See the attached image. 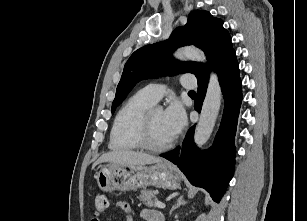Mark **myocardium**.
<instances>
[{
	"mask_svg": "<svg viewBox=\"0 0 307 221\" xmlns=\"http://www.w3.org/2000/svg\"><path fill=\"white\" fill-rule=\"evenodd\" d=\"M155 110L157 109L151 107L143 114L137 131V141L141 148L158 153L168 150L173 145V139L162 145H156L151 141V123Z\"/></svg>",
	"mask_w": 307,
	"mask_h": 221,
	"instance_id": "myocardium-1",
	"label": "myocardium"
}]
</instances>
